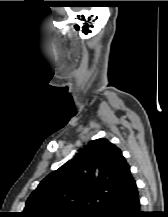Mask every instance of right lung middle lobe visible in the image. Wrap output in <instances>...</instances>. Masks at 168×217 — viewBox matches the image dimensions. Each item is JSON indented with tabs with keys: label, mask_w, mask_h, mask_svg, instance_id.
Masks as SVG:
<instances>
[{
	"label": "right lung middle lobe",
	"mask_w": 168,
	"mask_h": 217,
	"mask_svg": "<svg viewBox=\"0 0 168 217\" xmlns=\"http://www.w3.org/2000/svg\"><path fill=\"white\" fill-rule=\"evenodd\" d=\"M59 217H90V215H71V216H59Z\"/></svg>",
	"instance_id": "dd1d6c3e"
}]
</instances>
